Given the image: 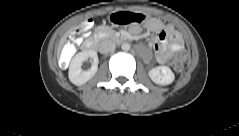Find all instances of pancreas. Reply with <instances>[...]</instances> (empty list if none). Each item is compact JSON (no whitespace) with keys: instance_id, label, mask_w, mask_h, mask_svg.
<instances>
[{"instance_id":"cf45deb5","label":"pancreas","mask_w":239,"mask_h":136,"mask_svg":"<svg viewBox=\"0 0 239 136\" xmlns=\"http://www.w3.org/2000/svg\"><path fill=\"white\" fill-rule=\"evenodd\" d=\"M105 31V37H110L112 36V31L110 29H107L106 27H103Z\"/></svg>"}]
</instances>
